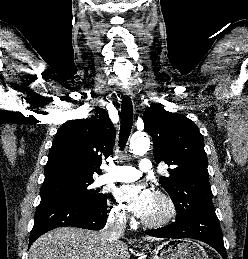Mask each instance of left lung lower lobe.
<instances>
[{
  "mask_svg": "<svg viewBox=\"0 0 248 259\" xmlns=\"http://www.w3.org/2000/svg\"><path fill=\"white\" fill-rule=\"evenodd\" d=\"M148 235L159 238H193L207 243L216 249L223 259L227 253L215 211L195 213L162 228L149 230Z\"/></svg>",
  "mask_w": 248,
  "mask_h": 259,
  "instance_id": "0a47b994",
  "label": "left lung lower lobe"
}]
</instances>
